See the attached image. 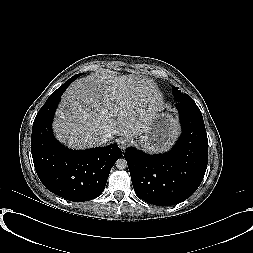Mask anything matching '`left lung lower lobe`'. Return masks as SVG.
Wrapping results in <instances>:
<instances>
[{
  "label": "left lung lower lobe",
  "instance_id": "obj_1",
  "mask_svg": "<svg viewBox=\"0 0 253 253\" xmlns=\"http://www.w3.org/2000/svg\"><path fill=\"white\" fill-rule=\"evenodd\" d=\"M182 134L167 153L148 155L126 149L133 188L142 200L169 206L189 198L201 184L208 161V139L200 109L178 101Z\"/></svg>",
  "mask_w": 253,
  "mask_h": 253
}]
</instances>
